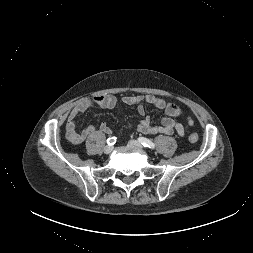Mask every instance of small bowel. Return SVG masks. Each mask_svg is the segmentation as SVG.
Instances as JSON below:
<instances>
[{"label": "small bowel", "instance_id": "c3829d8e", "mask_svg": "<svg viewBox=\"0 0 253 253\" xmlns=\"http://www.w3.org/2000/svg\"><path fill=\"white\" fill-rule=\"evenodd\" d=\"M121 100L126 105L136 106L138 113L144 116V118L137 126L138 131L142 134L171 135L173 133H177L180 136H184L188 132L189 128H191L193 125V120L190 117L186 118L185 124L177 121L176 119L185 117L184 111L174 103L152 94L126 95L123 96ZM144 103L153 105L164 113L165 117L162 119L161 125H151L150 118L148 116H145L146 110ZM116 104L117 98L113 95H99L78 101L70 111L65 125V134L67 140L74 145H78L84 142L87 137L95 132L96 128L93 125H89L81 131L77 129V117L80 114L86 112L88 109L94 106H98L104 109H112L116 106ZM100 130L106 134L111 133V129L107 126L106 123H102L100 125Z\"/></svg>", "mask_w": 253, "mask_h": 253}]
</instances>
